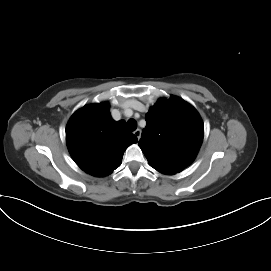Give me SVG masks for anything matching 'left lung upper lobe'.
Returning a JSON list of instances; mask_svg holds the SVG:
<instances>
[{
	"label": "left lung upper lobe",
	"instance_id": "obj_1",
	"mask_svg": "<svg viewBox=\"0 0 271 271\" xmlns=\"http://www.w3.org/2000/svg\"><path fill=\"white\" fill-rule=\"evenodd\" d=\"M145 119L139 146L154 169L175 174L193 162L203 139V122L194 107L176 96L161 98Z\"/></svg>",
	"mask_w": 271,
	"mask_h": 271
}]
</instances>
